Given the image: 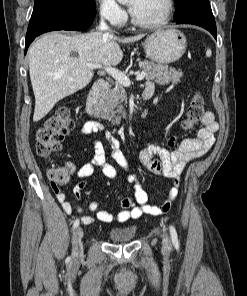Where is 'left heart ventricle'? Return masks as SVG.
<instances>
[{"label":"left heart ventricle","instance_id":"left-heart-ventricle-1","mask_svg":"<svg viewBox=\"0 0 247 296\" xmlns=\"http://www.w3.org/2000/svg\"><path fill=\"white\" fill-rule=\"evenodd\" d=\"M164 0H130L135 6L134 17L140 22L149 23L160 19L164 13Z\"/></svg>","mask_w":247,"mask_h":296}]
</instances>
